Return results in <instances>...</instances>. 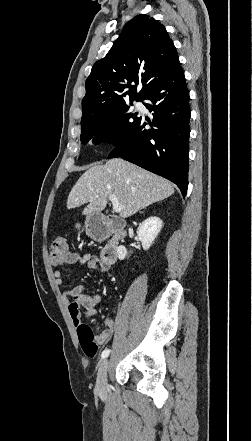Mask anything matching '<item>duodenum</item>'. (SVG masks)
Masks as SVG:
<instances>
[{"instance_id": "obj_1", "label": "duodenum", "mask_w": 252, "mask_h": 441, "mask_svg": "<svg viewBox=\"0 0 252 441\" xmlns=\"http://www.w3.org/2000/svg\"><path fill=\"white\" fill-rule=\"evenodd\" d=\"M87 225L89 234L94 240H104L109 235L111 236L101 251L100 257L104 262L112 264L117 258L119 242L126 235L124 223L115 217L108 216L104 224L99 219L92 218L88 220Z\"/></svg>"}]
</instances>
